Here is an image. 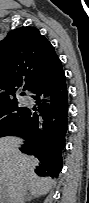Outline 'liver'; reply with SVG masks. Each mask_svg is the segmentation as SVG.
I'll return each instance as SVG.
<instances>
[{"label":"liver","mask_w":89,"mask_h":203,"mask_svg":"<svg viewBox=\"0 0 89 203\" xmlns=\"http://www.w3.org/2000/svg\"><path fill=\"white\" fill-rule=\"evenodd\" d=\"M20 138L5 137L0 140V194L10 203H18L21 196L31 193L35 197L46 195L55 183L51 178L39 177L35 167L39 161L19 151Z\"/></svg>","instance_id":"1"}]
</instances>
